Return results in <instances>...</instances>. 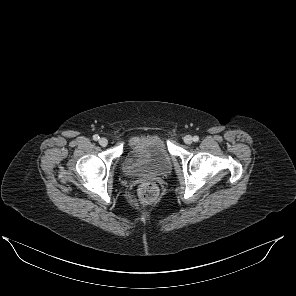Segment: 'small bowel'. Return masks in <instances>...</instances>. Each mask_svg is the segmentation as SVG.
Here are the masks:
<instances>
[{"instance_id": "small-bowel-1", "label": "small bowel", "mask_w": 296, "mask_h": 296, "mask_svg": "<svg viewBox=\"0 0 296 296\" xmlns=\"http://www.w3.org/2000/svg\"><path fill=\"white\" fill-rule=\"evenodd\" d=\"M135 141H137V140H136V139H133V140L131 141V145H132Z\"/></svg>"}]
</instances>
